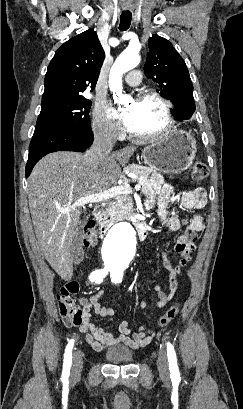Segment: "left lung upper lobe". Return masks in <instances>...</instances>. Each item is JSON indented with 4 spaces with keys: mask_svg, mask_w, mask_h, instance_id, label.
I'll return each instance as SVG.
<instances>
[{
    "mask_svg": "<svg viewBox=\"0 0 243 409\" xmlns=\"http://www.w3.org/2000/svg\"><path fill=\"white\" fill-rule=\"evenodd\" d=\"M144 72L158 83L161 94L173 102L177 120L192 116L195 103L189 72L183 58L168 40L157 35L149 39Z\"/></svg>",
    "mask_w": 243,
    "mask_h": 409,
    "instance_id": "left-lung-upper-lobe-1",
    "label": "left lung upper lobe"
}]
</instances>
